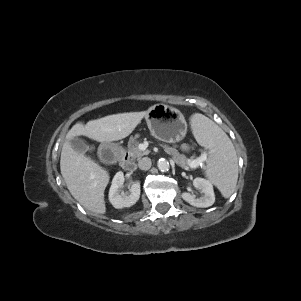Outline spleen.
Masks as SVG:
<instances>
[{
    "mask_svg": "<svg viewBox=\"0 0 301 301\" xmlns=\"http://www.w3.org/2000/svg\"><path fill=\"white\" fill-rule=\"evenodd\" d=\"M191 127L197 141L209 150L206 176L229 198L238 180V160L235 148L226 133L206 116L196 113Z\"/></svg>",
    "mask_w": 301,
    "mask_h": 301,
    "instance_id": "1",
    "label": "spleen"
}]
</instances>
